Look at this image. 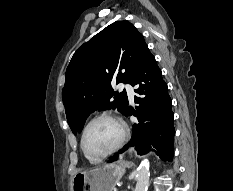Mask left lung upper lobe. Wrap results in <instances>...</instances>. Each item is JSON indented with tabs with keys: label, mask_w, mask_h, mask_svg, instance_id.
I'll return each mask as SVG.
<instances>
[{
	"label": "left lung upper lobe",
	"mask_w": 233,
	"mask_h": 191,
	"mask_svg": "<svg viewBox=\"0 0 233 191\" xmlns=\"http://www.w3.org/2000/svg\"><path fill=\"white\" fill-rule=\"evenodd\" d=\"M150 54L133 24L116 21L84 43L73 55L62 91L67 121L73 133L81 132L87 117L97 109H128L126 91L114 92L111 84L129 83Z\"/></svg>",
	"instance_id": "1"
}]
</instances>
